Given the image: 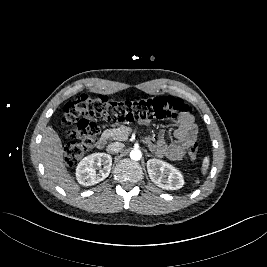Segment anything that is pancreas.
Masks as SVG:
<instances>
[{
    "label": "pancreas",
    "mask_w": 267,
    "mask_h": 267,
    "mask_svg": "<svg viewBox=\"0 0 267 267\" xmlns=\"http://www.w3.org/2000/svg\"><path fill=\"white\" fill-rule=\"evenodd\" d=\"M130 133H131V128L121 125L117 128L105 130L103 135L112 140L125 141L128 139Z\"/></svg>",
    "instance_id": "obj_1"
}]
</instances>
